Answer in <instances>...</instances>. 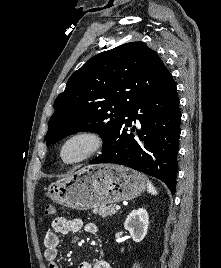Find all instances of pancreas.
I'll return each mask as SVG.
<instances>
[{
  "label": "pancreas",
  "mask_w": 221,
  "mask_h": 268,
  "mask_svg": "<svg viewBox=\"0 0 221 268\" xmlns=\"http://www.w3.org/2000/svg\"><path fill=\"white\" fill-rule=\"evenodd\" d=\"M94 214H99L103 218L114 215L117 211L115 210L114 205L100 206L92 210Z\"/></svg>",
  "instance_id": "1"
}]
</instances>
